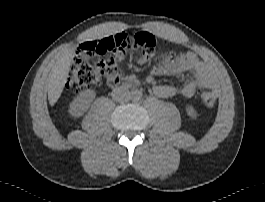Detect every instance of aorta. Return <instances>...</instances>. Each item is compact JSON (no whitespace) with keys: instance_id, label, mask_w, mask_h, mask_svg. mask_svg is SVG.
<instances>
[{"instance_id":"762f6f07","label":"aorta","mask_w":265,"mask_h":202,"mask_svg":"<svg viewBox=\"0 0 265 202\" xmlns=\"http://www.w3.org/2000/svg\"><path fill=\"white\" fill-rule=\"evenodd\" d=\"M141 96H142V94L139 90L131 91V94H130L131 100L138 101V100H140Z\"/></svg>"}]
</instances>
